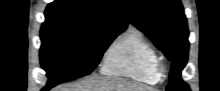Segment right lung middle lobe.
I'll return each mask as SVG.
<instances>
[{"mask_svg":"<svg viewBox=\"0 0 220 91\" xmlns=\"http://www.w3.org/2000/svg\"><path fill=\"white\" fill-rule=\"evenodd\" d=\"M120 33L81 25L42 26L40 60L49 78L46 87L91 73Z\"/></svg>","mask_w":220,"mask_h":91,"instance_id":"right-lung-middle-lobe-1","label":"right lung middle lobe"}]
</instances>
